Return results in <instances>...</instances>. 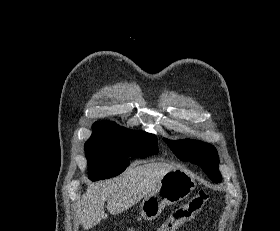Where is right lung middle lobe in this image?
<instances>
[{"mask_svg":"<svg viewBox=\"0 0 280 231\" xmlns=\"http://www.w3.org/2000/svg\"><path fill=\"white\" fill-rule=\"evenodd\" d=\"M84 149L92 181L115 177L128 166L129 158L158 154L155 135L137 132L103 121L93 125Z\"/></svg>","mask_w":280,"mask_h":231,"instance_id":"right-lung-middle-lobe-1","label":"right lung middle lobe"}]
</instances>
